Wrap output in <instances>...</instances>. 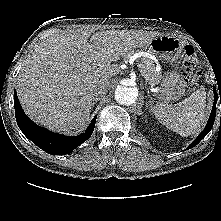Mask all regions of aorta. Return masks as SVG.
<instances>
[{
	"label": "aorta",
	"instance_id": "762f6f07",
	"mask_svg": "<svg viewBox=\"0 0 221 221\" xmlns=\"http://www.w3.org/2000/svg\"><path fill=\"white\" fill-rule=\"evenodd\" d=\"M138 97V89L135 87H127L118 85L115 90V99L122 105H131L135 103Z\"/></svg>",
	"mask_w": 221,
	"mask_h": 221
}]
</instances>
